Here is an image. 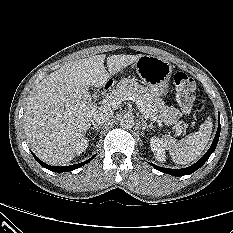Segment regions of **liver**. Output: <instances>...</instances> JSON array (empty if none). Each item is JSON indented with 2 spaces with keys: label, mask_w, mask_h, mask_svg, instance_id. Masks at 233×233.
Returning <instances> with one entry per match:
<instances>
[{
  "label": "liver",
  "mask_w": 233,
  "mask_h": 233,
  "mask_svg": "<svg viewBox=\"0 0 233 233\" xmlns=\"http://www.w3.org/2000/svg\"><path fill=\"white\" fill-rule=\"evenodd\" d=\"M141 56H109L108 72L106 55H95L69 62L43 79L30 93L23 117L26 138L36 156L50 165L70 162L98 110L89 87H102Z\"/></svg>",
  "instance_id": "obj_1"
}]
</instances>
